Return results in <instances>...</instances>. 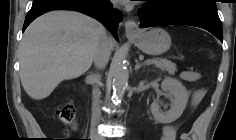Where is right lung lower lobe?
Listing matches in <instances>:
<instances>
[{"instance_id":"98d812e1","label":"right lung lower lobe","mask_w":236,"mask_h":140,"mask_svg":"<svg viewBox=\"0 0 236 140\" xmlns=\"http://www.w3.org/2000/svg\"><path fill=\"white\" fill-rule=\"evenodd\" d=\"M53 10H74L101 21L117 38L120 15L112 9L108 0L96 4L93 0H34L23 25V31L38 16Z\"/></svg>"}]
</instances>
